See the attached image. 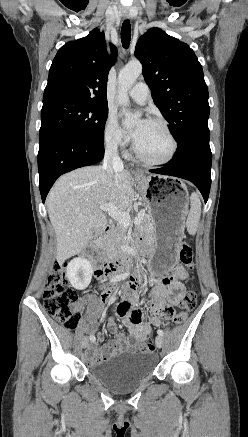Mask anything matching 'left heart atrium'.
<instances>
[{
    "label": "left heart atrium",
    "mask_w": 248,
    "mask_h": 437,
    "mask_svg": "<svg viewBox=\"0 0 248 437\" xmlns=\"http://www.w3.org/2000/svg\"><path fill=\"white\" fill-rule=\"evenodd\" d=\"M147 122H148V121H146V120L141 121V122L137 125V127H136L135 129H133V130L129 133L130 137H131L134 141H137V140H138V138L140 137V135H141V133H142V131H143V129H144V127H145V125H146Z\"/></svg>",
    "instance_id": "left-heart-atrium-1"
}]
</instances>
